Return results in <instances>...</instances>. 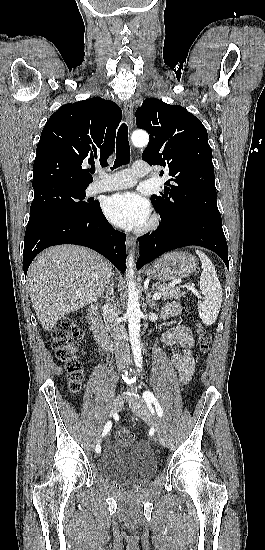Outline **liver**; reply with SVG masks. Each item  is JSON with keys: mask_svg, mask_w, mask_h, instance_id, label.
Masks as SVG:
<instances>
[{"mask_svg": "<svg viewBox=\"0 0 265 550\" xmlns=\"http://www.w3.org/2000/svg\"><path fill=\"white\" fill-rule=\"evenodd\" d=\"M112 265L100 254L76 245L40 253L28 270L33 308L46 331L65 315L96 302L110 282Z\"/></svg>", "mask_w": 265, "mask_h": 550, "instance_id": "6515ba94", "label": "liver"}]
</instances>
